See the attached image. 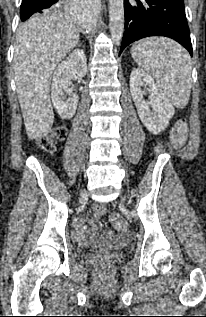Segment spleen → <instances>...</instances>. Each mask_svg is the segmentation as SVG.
Segmentation results:
<instances>
[{
    "mask_svg": "<svg viewBox=\"0 0 206 317\" xmlns=\"http://www.w3.org/2000/svg\"><path fill=\"white\" fill-rule=\"evenodd\" d=\"M131 55L155 78L175 107L187 105L192 86V64L190 55L182 46L164 37H150L134 43Z\"/></svg>",
    "mask_w": 206,
    "mask_h": 317,
    "instance_id": "spleen-1",
    "label": "spleen"
}]
</instances>
